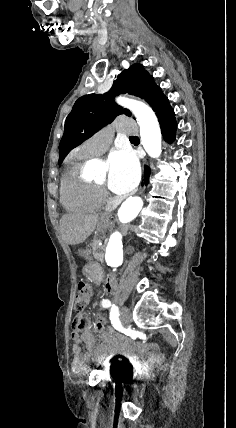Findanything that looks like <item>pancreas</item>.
Returning <instances> with one entry per match:
<instances>
[{
    "label": "pancreas",
    "mask_w": 236,
    "mask_h": 428,
    "mask_svg": "<svg viewBox=\"0 0 236 428\" xmlns=\"http://www.w3.org/2000/svg\"><path fill=\"white\" fill-rule=\"evenodd\" d=\"M100 240H92V254L97 262H104V246H99Z\"/></svg>",
    "instance_id": "1"
}]
</instances>
